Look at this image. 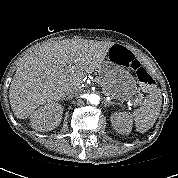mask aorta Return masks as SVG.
Listing matches in <instances>:
<instances>
[{
    "label": "aorta",
    "instance_id": "762f6f07",
    "mask_svg": "<svg viewBox=\"0 0 178 178\" xmlns=\"http://www.w3.org/2000/svg\"><path fill=\"white\" fill-rule=\"evenodd\" d=\"M87 100L93 105H98L100 102V97L97 94H89Z\"/></svg>",
    "mask_w": 178,
    "mask_h": 178
}]
</instances>
